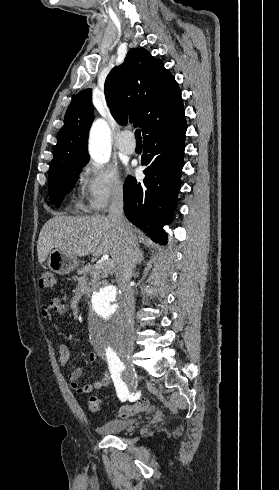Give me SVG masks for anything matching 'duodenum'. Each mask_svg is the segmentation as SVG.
Instances as JSON below:
<instances>
[{
    "mask_svg": "<svg viewBox=\"0 0 279 490\" xmlns=\"http://www.w3.org/2000/svg\"><path fill=\"white\" fill-rule=\"evenodd\" d=\"M95 288H96V285H92V286L88 287L85 290L84 296L87 298L90 297L93 294V292L95 291Z\"/></svg>",
    "mask_w": 279,
    "mask_h": 490,
    "instance_id": "1",
    "label": "duodenum"
}]
</instances>
